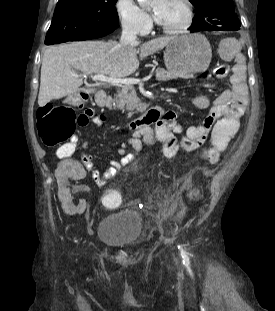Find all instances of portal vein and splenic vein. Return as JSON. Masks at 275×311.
I'll return each instance as SVG.
<instances>
[{"label": "portal vein and splenic vein", "mask_w": 275, "mask_h": 311, "mask_svg": "<svg viewBox=\"0 0 275 311\" xmlns=\"http://www.w3.org/2000/svg\"><path fill=\"white\" fill-rule=\"evenodd\" d=\"M77 77H81L78 74H74ZM152 75L148 76V79L151 78ZM91 78L95 81H102L106 83H111L114 85H134V84H139L141 82L140 79H135V78H124V77H108L103 74H97L91 76Z\"/></svg>", "instance_id": "18ae733b"}]
</instances>
